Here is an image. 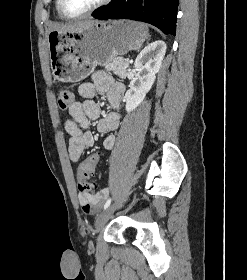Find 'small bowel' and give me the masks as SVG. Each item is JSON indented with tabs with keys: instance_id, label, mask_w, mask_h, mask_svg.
I'll use <instances>...</instances> for the list:
<instances>
[{
	"instance_id": "small-bowel-1",
	"label": "small bowel",
	"mask_w": 247,
	"mask_h": 280,
	"mask_svg": "<svg viewBox=\"0 0 247 280\" xmlns=\"http://www.w3.org/2000/svg\"><path fill=\"white\" fill-rule=\"evenodd\" d=\"M97 93H104L112 110L101 117V110L95 102ZM124 87L114 78L103 71L96 72L91 82H84L78 87L82 101H76L69 108L70 119L65 122V130L69 135L68 153L73 162H78L88 147L93 146L94 138L87 130L90 121L97 120V130L108 133L103 139V147L111 150L115 145V135L120 124V115L116 112L119 107ZM108 195V189L103 188L97 193L80 192L79 203L87 214L93 213Z\"/></svg>"
}]
</instances>
